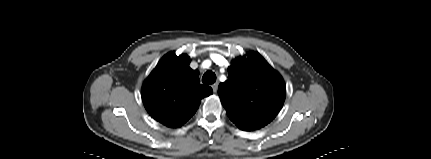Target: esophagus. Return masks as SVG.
Here are the masks:
<instances>
[{"instance_id":"34e87169","label":"esophagus","mask_w":431,"mask_h":159,"mask_svg":"<svg viewBox=\"0 0 431 159\" xmlns=\"http://www.w3.org/2000/svg\"><path fill=\"white\" fill-rule=\"evenodd\" d=\"M212 89H213L214 93L217 92V90H218V83L217 82L212 85Z\"/></svg>"}]
</instances>
